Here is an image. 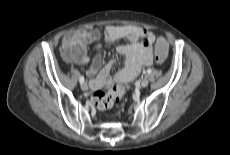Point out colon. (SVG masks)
<instances>
[{
	"instance_id": "colon-1",
	"label": "colon",
	"mask_w": 230,
	"mask_h": 155,
	"mask_svg": "<svg viewBox=\"0 0 230 155\" xmlns=\"http://www.w3.org/2000/svg\"><path fill=\"white\" fill-rule=\"evenodd\" d=\"M81 49L79 47V41L77 37L71 35L68 37L64 53L69 54H79ZM168 54V44L167 41L159 37L156 42L155 48V60L157 63H162L165 61ZM124 95V89L122 87H115L109 92L97 91L93 95V103L99 110L110 109L115 103H117Z\"/></svg>"
}]
</instances>
